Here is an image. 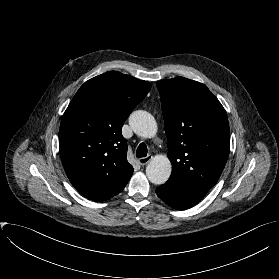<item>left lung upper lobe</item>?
I'll return each mask as SVG.
<instances>
[{"label": "left lung upper lobe", "instance_id": "1", "mask_svg": "<svg viewBox=\"0 0 279 279\" xmlns=\"http://www.w3.org/2000/svg\"><path fill=\"white\" fill-rule=\"evenodd\" d=\"M157 87L173 167L169 180L206 193L217 183L229 155L226 111L197 81L176 77Z\"/></svg>", "mask_w": 279, "mask_h": 279}]
</instances>
